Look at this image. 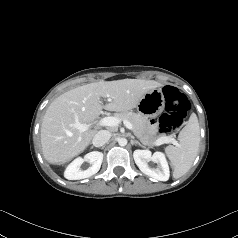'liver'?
<instances>
[{
	"mask_svg": "<svg viewBox=\"0 0 238 238\" xmlns=\"http://www.w3.org/2000/svg\"><path fill=\"white\" fill-rule=\"evenodd\" d=\"M154 80L122 79L99 81L76 87L57 97L47 108L41 125V147L44 158L51 164H64L82 153L97 133L88 129L80 132L76 122L88 124L102 109L126 112L137 107L149 91L160 87ZM107 98L103 105L100 98Z\"/></svg>",
	"mask_w": 238,
	"mask_h": 238,
	"instance_id": "1",
	"label": "liver"
}]
</instances>
